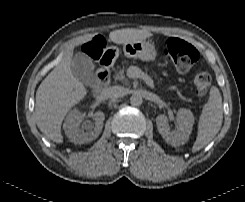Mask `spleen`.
Here are the masks:
<instances>
[{
    "mask_svg": "<svg viewBox=\"0 0 245 202\" xmlns=\"http://www.w3.org/2000/svg\"><path fill=\"white\" fill-rule=\"evenodd\" d=\"M223 120L222 97L217 87H211L208 102L204 105L198 122V135L192 147L197 152L219 132Z\"/></svg>",
    "mask_w": 245,
    "mask_h": 202,
    "instance_id": "obj_1",
    "label": "spleen"
}]
</instances>
